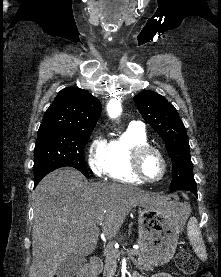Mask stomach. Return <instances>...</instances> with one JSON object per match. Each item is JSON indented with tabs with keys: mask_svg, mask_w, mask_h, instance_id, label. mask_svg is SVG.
Masks as SVG:
<instances>
[{
	"mask_svg": "<svg viewBox=\"0 0 221 277\" xmlns=\"http://www.w3.org/2000/svg\"><path fill=\"white\" fill-rule=\"evenodd\" d=\"M188 215L187 206L177 202L139 209L138 244L141 257L148 264L161 266L172 259Z\"/></svg>",
	"mask_w": 221,
	"mask_h": 277,
	"instance_id": "obj_1",
	"label": "stomach"
}]
</instances>
